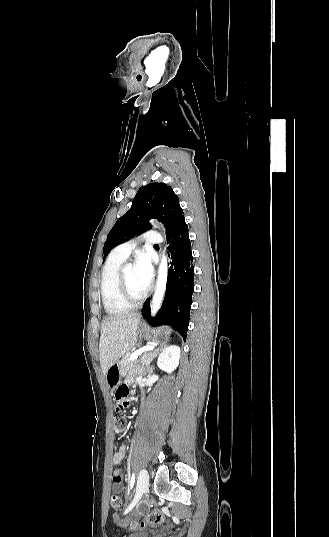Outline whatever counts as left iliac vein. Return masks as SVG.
Returning <instances> with one entry per match:
<instances>
[{
	"mask_svg": "<svg viewBox=\"0 0 329 537\" xmlns=\"http://www.w3.org/2000/svg\"><path fill=\"white\" fill-rule=\"evenodd\" d=\"M148 485H149V474H148L146 469H141L140 473H139V476H138L135 497H134L132 503L129 505V507L125 510V514L128 513L130 510H132V508L135 505H137V503L141 499L142 495L145 492H147Z\"/></svg>",
	"mask_w": 329,
	"mask_h": 537,
	"instance_id": "4c4485c4",
	"label": "left iliac vein"
}]
</instances>
